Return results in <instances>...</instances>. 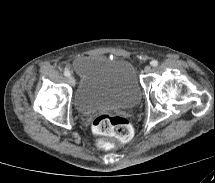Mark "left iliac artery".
<instances>
[{
	"instance_id": "left-iliac-artery-1",
	"label": "left iliac artery",
	"mask_w": 215,
	"mask_h": 183,
	"mask_svg": "<svg viewBox=\"0 0 215 183\" xmlns=\"http://www.w3.org/2000/svg\"><path fill=\"white\" fill-rule=\"evenodd\" d=\"M151 65H152L153 67L158 66V61H157V60H153V61L151 62Z\"/></svg>"
}]
</instances>
